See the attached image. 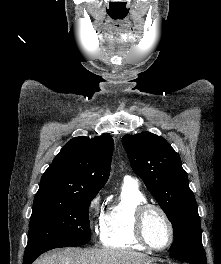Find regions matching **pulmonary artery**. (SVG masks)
<instances>
[{
    "instance_id": "e3ab8cb5",
    "label": "pulmonary artery",
    "mask_w": 221,
    "mask_h": 264,
    "mask_svg": "<svg viewBox=\"0 0 221 264\" xmlns=\"http://www.w3.org/2000/svg\"><path fill=\"white\" fill-rule=\"evenodd\" d=\"M124 181H130V182H135V183H137V178H134V177H132V176H130V175H126L125 177H124Z\"/></svg>"
}]
</instances>
